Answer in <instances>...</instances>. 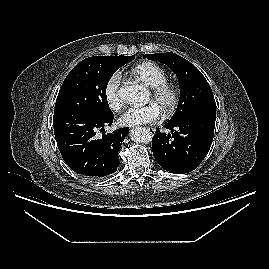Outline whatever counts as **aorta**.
<instances>
[{"label": "aorta", "instance_id": "762f6f07", "mask_svg": "<svg viewBox=\"0 0 269 269\" xmlns=\"http://www.w3.org/2000/svg\"><path fill=\"white\" fill-rule=\"evenodd\" d=\"M121 100L128 104H137L143 101L146 97L145 90L139 85H125L118 91ZM130 137L137 143H149L152 140V135L146 128L137 127L130 131Z\"/></svg>", "mask_w": 269, "mask_h": 269}]
</instances>
